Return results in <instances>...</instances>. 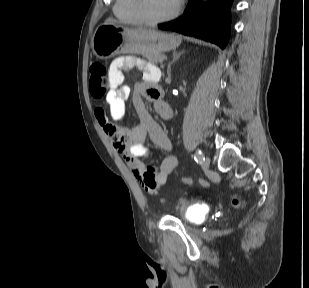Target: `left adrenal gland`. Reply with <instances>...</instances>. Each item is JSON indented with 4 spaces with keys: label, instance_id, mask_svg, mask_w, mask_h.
<instances>
[{
    "label": "left adrenal gland",
    "instance_id": "1",
    "mask_svg": "<svg viewBox=\"0 0 309 288\" xmlns=\"http://www.w3.org/2000/svg\"><path fill=\"white\" fill-rule=\"evenodd\" d=\"M184 53V50L181 51V52H176L174 51L173 52V60L168 64V68H167V73H168V76L170 77L171 75V65L177 60L180 58V56Z\"/></svg>",
    "mask_w": 309,
    "mask_h": 288
}]
</instances>
